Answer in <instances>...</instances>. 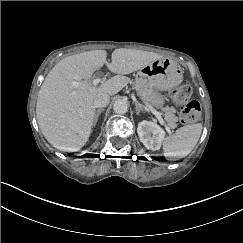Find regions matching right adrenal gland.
<instances>
[{"label":"right adrenal gland","instance_id":"obj_1","mask_svg":"<svg viewBox=\"0 0 243 243\" xmlns=\"http://www.w3.org/2000/svg\"><path fill=\"white\" fill-rule=\"evenodd\" d=\"M104 111V108H100V109H98L97 111H96V113H95V120H94V125H96L97 124V122H98V119H99V116H100V114L102 113Z\"/></svg>","mask_w":243,"mask_h":243}]
</instances>
